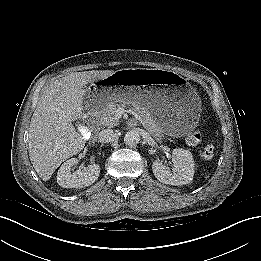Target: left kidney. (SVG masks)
<instances>
[{"mask_svg":"<svg viewBox=\"0 0 261 261\" xmlns=\"http://www.w3.org/2000/svg\"><path fill=\"white\" fill-rule=\"evenodd\" d=\"M174 171H170L160 160L152 164L154 176L162 183L179 186L190 183L193 180L195 163L190 151L174 149L172 152Z\"/></svg>","mask_w":261,"mask_h":261,"instance_id":"left-kidney-1","label":"left kidney"}]
</instances>
